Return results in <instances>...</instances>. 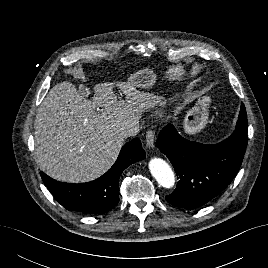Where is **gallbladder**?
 <instances>
[{"label": "gallbladder", "instance_id": "bac80fb5", "mask_svg": "<svg viewBox=\"0 0 268 268\" xmlns=\"http://www.w3.org/2000/svg\"><path fill=\"white\" fill-rule=\"evenodd\" d=\"M79 91H80V93H81L82 95H85L86 92L88 91V89L85 88V87H80Z\"/></svg>", "mask_w": 268, "mask_h": 268}]
</instances>
